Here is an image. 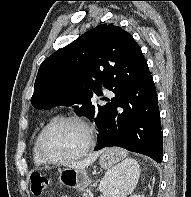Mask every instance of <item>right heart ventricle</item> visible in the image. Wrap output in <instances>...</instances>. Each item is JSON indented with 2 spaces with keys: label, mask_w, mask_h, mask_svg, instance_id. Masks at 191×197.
<instances>
[{
  "label": "right heart ventricle",
  "mask_w": 191,
  "mask_h": 197,
  "mask_svg": "<svg viewBox=\"0 0 191 197\" xmlns=\"http://www.w3.org/2000/svg\"><path fill=\"white\" fill-rule=\"evenodd\" d=\"M38 135L36 136L35 141L33 143V162L37 166H44V165L47 164V162H45L39 155V152H38V149H37Z\"/></svg>",
  "instance_id": "right-heart-ventricle-1"
}]
</instances>
